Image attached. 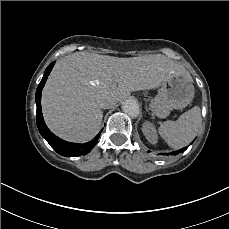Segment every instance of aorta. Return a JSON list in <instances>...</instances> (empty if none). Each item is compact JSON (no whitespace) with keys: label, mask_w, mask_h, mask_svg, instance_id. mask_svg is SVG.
Instances as JSON below:
<instances>
[{"label":"aorta","mask_w":229,"mask_h":229,"mask_svg":"<svg viewBox=\"0 0 229 229\" xmlns=\"http://www.w3.org/2000/svg\"><path fill=\"white\" fill-rule=\"evenodd\" d=\"M122 110L131 118H136L140 114L138 103L133 99H127L122 104Z\"/></svg>","instance_id":"1"}]
</instances>
